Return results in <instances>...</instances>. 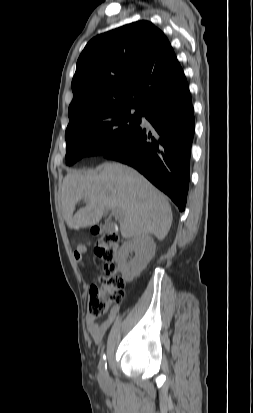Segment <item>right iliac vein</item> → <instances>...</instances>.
<instances>
[{
	"instance_id": "right-iliac-vein-1",
	"label": "right iliac vein",
	"mask_w": 253,
	"mask_h": 413,
	"mask_svg": "<svg viewBox=\"0 0 253 413\" xmlns=\"http://www.w3.org/2000/svg\"><path fill=\"white\" fill-rule=\"evenodd\" d=\"M100 379H101L102 381H104V380L106 379L105 375L101 374V375H100Z\"/></svg>"
}]
</instances>
